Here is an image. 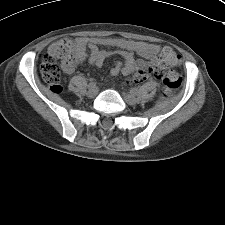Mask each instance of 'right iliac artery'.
Instances as JSON below:
<instances>
[{"instance_id": "1", "label": "right iliac artery", "mask_w": 225, "mask_h": 225, "mask_svg": "<svg viewBox=\"0 0 225 225\" xmlns=\"http://www.w3.org/2000/svg\"><path fill=\"white\" fill-rule=\"evenodd\" d=\"M94 85H96V83L93 80H91L90 83H89V85H88V87H92Z\"/></svg>"}]
</instances>
